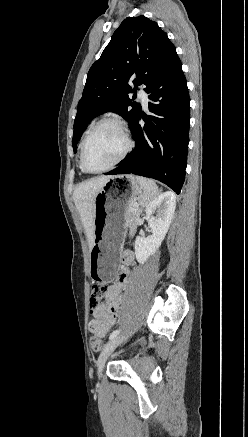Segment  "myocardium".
I'll use <instances>...</instances> for the list:
<instances>
[{
	"label": "myocardium",
	"mask_w": 248,
	"mask_h": 437,
	"mask_svg": "<svg viewBox=\"0 0 248 437\" xmlns=\"http://www.w3.org/2000/svg\"><path fill=\"white\" fill-rule=\"evenodd\" d=\"M106 125H113V126L117 127L122 132L124 139H125V142H126V146H125L124 151L118 157V159L115 160L112 164H110L109 166H107L103 169H100V170H91L86 165V160H85L87 144H88L89 140L91 139V137L99 129H101L103 126H106ZM133 147H134V142H133V139L131 137L130 131L123 121L116 119V118L103 119V120L99 121L98 123H96L92 127V129L89 131V133L85 136V138L83 139V142L81 145V150H80L81 167L86 173H89V174H99V173L109 171V170L113 169L115 166H117L119 163H121L129 155V153L132 151Z\"/></svg>",
	"instance_id": "obj_1"
}]
</instances>
